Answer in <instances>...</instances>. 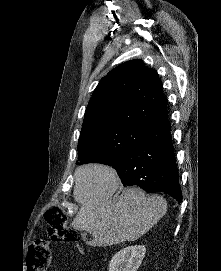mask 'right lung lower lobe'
<instances>
[{
	"label": "right lung lower lobe",
	"instance_id": "1",
	"mask_svg": "<svg viewBox=\"0 0 221 271\" xmlns=\"http://www.w3.org/2000/svg\"><path fill=\"white\" fill-rule=\"evenodd\" d=\"M168 118L152 124L140 142L110 165L124 186H139L148 193L163 192L182 200L178 169Z\"/></svg>",
	"mask_w": 221,
	"mask_h": 271
}]
</instances>
